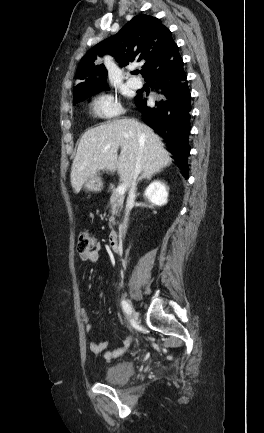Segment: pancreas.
Returning a JSON list of instances; mask_svg holds the SVG:
<instances>
[{"label": "pancreas", "mask_w": 264, "mask_h": 433, "mask_svg": "<svg viewBox=\"0 0 264 433\" xmlns=\"http://www.w3.org/2000/svg\"><path fill=\"white\" fill-rule=\"evenodd\" d=\"M124 196L118 195L116 190H113L110 197L109 207L111 217L109 219V227L112 228L115 224V217L120 214V209L123 207Z\"/></svg>", "instance_id": "1"}]
</instances>
